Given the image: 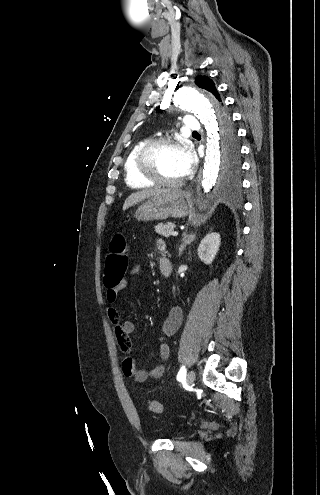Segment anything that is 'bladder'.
Here are the masks:
<instances>
[{
  "label": "bladder",
  "mask_w": 320,
  "mask_h": 495,
  "mask_svg": "<svg viewBox=\"0 0 320 495\" xmlns=\"http://www.w3.org/2000/svg\"><path fill=\"white\" fill-rule=\"evenodd\" d=\"M185 432L184 429H181V430H178L176 433H175V436H179L181 434H183Z\"/></svg>",
  "instance_id": "obj_1"
}]
</instances>
